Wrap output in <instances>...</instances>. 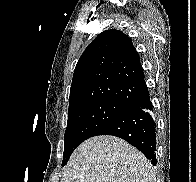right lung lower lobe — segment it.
Listing matches in <instances>:
<instances>
[{"mask_svg":"<svg viewBox=\"0 0 196 182\" xmlns=\"http://www.w3.org/2000/svg\"><path fill=\"white\" fill-rule=\"evenodd\" d=\"M97 135H112L124 139L156 165V123L148 89L130 109L101 127L93 136Z\"/></svg>","mask_w":196,"mask_h":182,"instance_id":"obj_1","label":"right lung lower lobe"}]
</instances>
